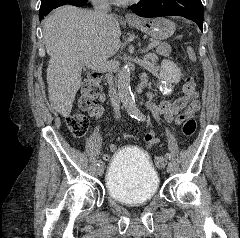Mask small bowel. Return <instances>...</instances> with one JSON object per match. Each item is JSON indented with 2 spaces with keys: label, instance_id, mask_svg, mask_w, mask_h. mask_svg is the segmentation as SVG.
I'll return each mask as SVG.
<instances>
[{
  "label": "small bowel",
  "instance_id": "small-bowel-1",
  "mask_svg": "<svg viewBox=\"0 0 240 238\" xmlns=\"http://www.w3.org/2000/svg\"><path fill=\"white\" fill-rule=\"evenodd\" d=\"M151 97V96H150ZM198 92H194L190 96H183L173 100H163L159 104H155L151 99L147 102V107L152 112L153 117L160 121L173 122L177 125L181 124L188 116H194L200 109V101L198 100ZM106 100V96L101 94L97 102L88 109L91 116L99 118L104 114V107L100 104ZM158 143V138L154 133H148L145 136V144L150 147ZM112 144V143H111ZM110 151H119V146H110ZM102 162H110L109 154L101 155Z\"/></svg>",
  "mask_w": 240,
  "mask_h": 238
}]
</instances>
